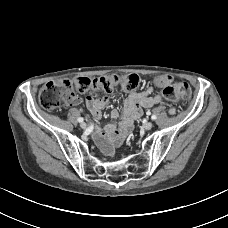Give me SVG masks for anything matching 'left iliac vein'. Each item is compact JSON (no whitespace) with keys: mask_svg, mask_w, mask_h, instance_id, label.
Segmentation results:
<instances>
[{"mask_svg":"<svg viewBox=\"0 0 228 228\" xmlns=\"http://www.w3.org/2000/svg\"><path fill=\"white\" fill-rule=\"evenodd\" d=\"M153 127V123L152 122H146L143 124V128L145 130H150Z\"/></svg>","mask_w":228,"mask_h":228,"instance_id":"obj_1","label":"left iliac vein"}]
</instances>
